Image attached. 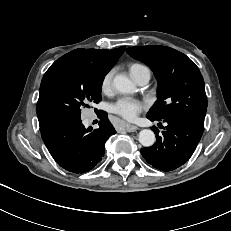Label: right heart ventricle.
I'll use <instances>...</instances> for the list:
<instances>
[{"mask_svg": "<svg viewBox=\"0 0 231 231\" xmlns=\"http://www.w3.org/2000/svg\"><path fill=\"white\" fill-rule=\"evenodd\" d=\"M147 68L146 66L140 64V63H133L129 66V72L131 75H133L136 71Z\"/></svg>", "mask_w": 231, "mask_h": 231, "instance_id": "right-heart-ventricle-1", "label": "right heart ventricle"}]
</instances>
